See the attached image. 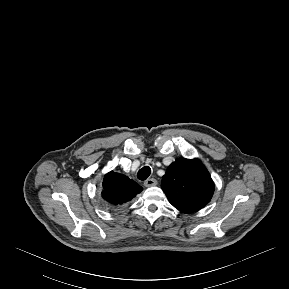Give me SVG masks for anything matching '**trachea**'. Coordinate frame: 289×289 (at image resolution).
Returning a JSON list of instances; mask_svg holds the SVG:
<instances>
[{"instance_id":"1","label":"trachea","mask_w":289,"mask_h":289,"mask_svg":"<svg viewBox=\"0 0 289 289\" xmlns=\"http://www.w3.org/2000/svg\"><path fill=\"white\" fill-rule=\"evenodd\" d=\"M151 174V168L149 166H145L141 168L137 173V178L139 180H146Z\"/></svg>"}]
</instances>
